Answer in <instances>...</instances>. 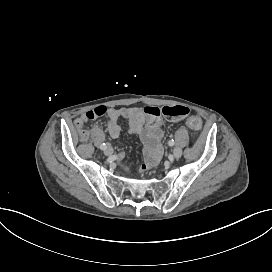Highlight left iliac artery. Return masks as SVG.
I'll return each mask as SVG.
<instances>
[{
  "mask_svg": "<svg viewBox=\"0 0 272 272\" xmlns=\"http://www.w3.org/2000/svg\"><path fill=\"white\" fill-rule=\"evenodd\" d=\"M168 144H169L170 146H173V145L175 144V142H174V140L172 139V140H170V141L168 142Z\"/></svg>",
  "mask_w": 272,
  "mask_h": 272,
  "instance_id": "left-iliac-artery-1",
  "label": "left iliac artery"
}]
</instances>
